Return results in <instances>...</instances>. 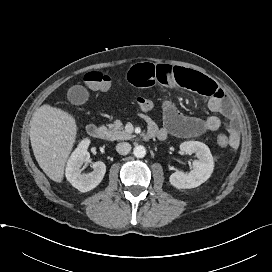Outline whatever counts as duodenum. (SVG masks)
Here are the masks:
<instances>
[{
	"instance_id": "1",
	"label": "duodenum",
	"mask_w": 272,
	"mask_h": 272,
	"mask_svg": "<svg viewBox=\"0 0 272 272\" xmlns=\"http://www.w3.org/2000/svg\"><path fill=\"white\" fill-rule=\"evenodd\" d=\"M86 132L88 136L94 139L104 140L107 137L106 130L102 126L96 124H89L86 127ZM153 137H155V133L152 131H148L144 136L145 139H151Z\"/></svg>"
}]
</instances>
